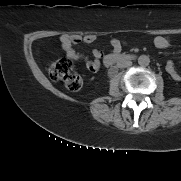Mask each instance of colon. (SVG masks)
Returning <instances> with one entry per match:
<instances>
[{"label":"colon","mask_w":181,"mask_h":181,"mask_svg":"<svg viewBox=\"0 0 181 181\" xmlns=\"http://www.w3.org/2000/svg\"><path fill=\"white\" fill-rule=\"evenodd\" d=\"M48 73L52 80L62 82L70 91H78L82 87V78L74 69L73 64L66 58L51 62Z\"/></svg>","instance_id":"obj_1"}]
</instances>
